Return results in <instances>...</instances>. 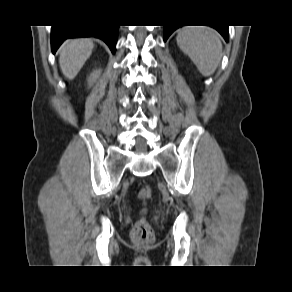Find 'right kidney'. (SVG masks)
Here are the masks:
<instances>
[{
    "mask_svg": "<svg viewBox=\"0 0 292 292\" xmlns=\"http://www.w3.org/2000/svg\"><path fill=\"white\" fill-rule=\"evenodd\" d=\"M101 74V70L100 69H96V70H93L89 77H88V85L89 87L93 86V84L97 81V79L99 78Z\"/></svg>",
    "mask_w": 292,
    "mask_h": 292,
    "instance_id": "right-kidney-1",
    "label": "right kidney"
}]
</instances>
